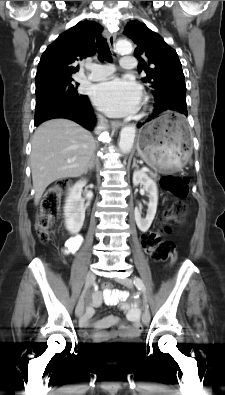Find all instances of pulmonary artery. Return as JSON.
<instances>
[{"mask_svg": "<svg viewBox=\"0 0 225 395\" xmlns=\"http://www.w3.org/2000/svg\"><path fill=\"white\" fill-rule=\"evenodd\" d=\"M120 65L123 69L131 70L134 69L136 66L135 58L131 56L123 57L120 61ZM115 68L113 65L106 64L101 65L97 64L92 67L91 73L87 76L88 80L91 81H101L107 79L110 75L113 74Z\"/></svg>", "mask_w": 225, "mask_h": 395, "instance_id": "1", "label": "pulmonary artery"}]
</instances>
